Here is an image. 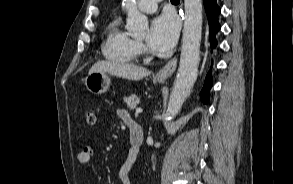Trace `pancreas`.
<instances>
[{
	"mask_svg": "<svg viewBox=\"0 0 293 184\" xmlns=\"http://www.w3.org/2000/svg\"><path fill=\"white\" fill-rule=\"evenodd\" d=\"M124 101L127 104V107L130 110H133L137 107V105L139 104V98L136 95H131L129 97L124 98Z\"/></svg>",
	"mask_w": 293,
	"mask_h": 184,
	"instance_id": "pancreas-1",
	"label": "pancreas"
}]
</instances>
